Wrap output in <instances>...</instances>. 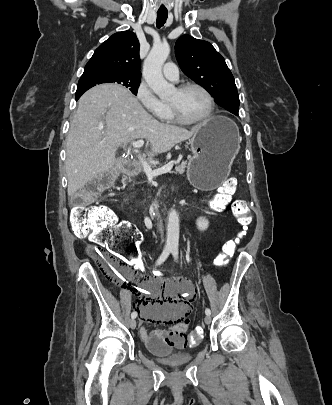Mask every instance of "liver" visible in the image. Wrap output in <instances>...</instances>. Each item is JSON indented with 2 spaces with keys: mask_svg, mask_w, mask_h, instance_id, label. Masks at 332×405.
<instances>
[{
  "mask_svg": "<svg viewBox=\"0 0 332 405\" xmlns=\"http://www.w3.org/2000/svg\"><path fill=\"white\" fill-rule=\"evenodd\" d=\"M197 130L198 126L189 131L157 121L121 86L93 87L79 99L67 137L68 196L110 170L120 144L145 138L150 142L147 155L152 158L190 139Z\"/></svg>",
  "mask_w": 332,
  "mask_h": 405,
  "instance_id": "liver-1",
  "label": "liver"
}]
</instances>
